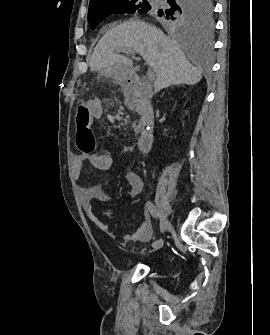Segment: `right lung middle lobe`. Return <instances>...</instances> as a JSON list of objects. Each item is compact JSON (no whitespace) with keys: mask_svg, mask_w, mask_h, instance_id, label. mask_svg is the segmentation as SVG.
Here are the masks:
<instances>
[{"mask_svg":"<svg viewBox=\"0 0 270 335\" xmlns=\"http://www.w3.org/2000/svg\"><path fill=\"white\" fill-rule=\"evenodd\" d=\"M211 1L167 0L168 4L158 7L148 0H115L101 6L89 8L88 22L95 29L100 22L111 14L139 12L148 13L159 24L172 29H186L198 25L210 26Z\"/></svg>","mask_w":270,"mask_h":335,"instance_id":"obj_1","label":"right lung middle lobe"}]
</instances>
